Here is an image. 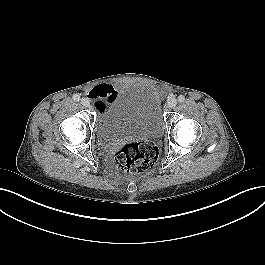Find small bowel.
Segmentation results:
<instances>
[{"label": "small bowel", "mask_w": 265, "mask_h": 265, "mask_svg": "<svg viewBox=\"0 0 265 265\" xmlns=\"http://www.w3.org/2000/svg\"><path fill=\"white\" fill-rule=\"evenodd\" d=\"M117 94V88L112 84H100L89 90L88 95L93 100L96 110L100 111L106 103Z\"/></svg>", "instance_id": "1"}]
</instances>
